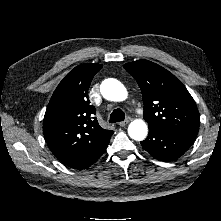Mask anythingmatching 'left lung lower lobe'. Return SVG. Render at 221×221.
Returning <instances> with one entry per match:
<instances>
[{"mask_svg":"<svg viewBox=\"0 0 221 221\" xmlns=\"http://www.w3.org/2000/svg\"><path fill=\"white\" fill-rule=\"evenodd\" d=\"M196 135L172 133L149 128L148 137L141 142L144 150L161 161H172L182 156L192 145Z\"/></svg>","mask_w":221,"mask_h":221,"instance_id":"obj_1","label":"left lung lower lobe"}]
</instances>
